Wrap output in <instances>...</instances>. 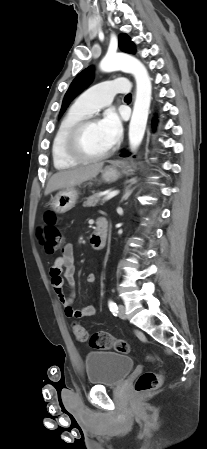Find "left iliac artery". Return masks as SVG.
<instances>
[{"mask_svg": "<svg viewBox=\"0 0 207 449\" xmlns=\"http://www.w3.org/2000/svg\"><path fill=\"white\" fill-rule=\"evenodd\" d=\"M108 306H109L110 311H111L114 315H116V314L118 313V306H117V304H116L114 301L109 300Z\"/></svg>", "mask_w": 207, "mask_h": 449, "instance_id": "obj_1", "label": "left iliac artery"}]
</instances>
